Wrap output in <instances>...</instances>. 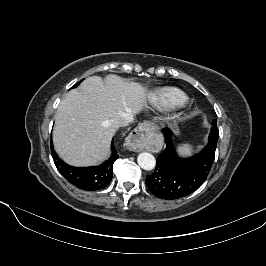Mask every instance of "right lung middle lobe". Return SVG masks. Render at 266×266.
Instances as JSON below:
<instances>
[{"label":"right lung middle lobe","instance_id":"1","mask_svg":"<svg viewBox=\"0 0 266 266\" xmlns=\"http://www.w3.org/2000/svg\"><path fill=\"white\" fill-rule=\"evenodd\" d=\"M79 83H80V82H78L76 85H74V86H73V88H74V87H76V86H78V85H79Z\"/></svg>","mask_w":266,"mask_h":266}]
</instances>
